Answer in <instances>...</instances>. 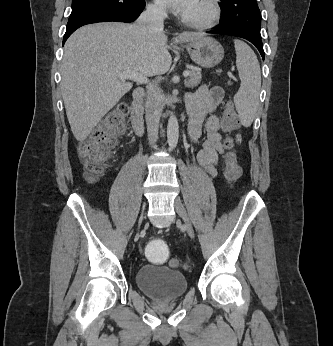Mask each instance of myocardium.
Instances as JSON below:
<instances>
[{"mask_svg": "<svg viewBox=\"0 0 333 346\" xmlns=\"http://www.w3.org/2000/svg\"><path fill=\"white\" fill-rule=\"evenodd\" d=\"M206 2L209 7V13L206 17L199 18L183 14L181 16L182 22L190 27L198 29H210L216 26L222 15L220 0H206Z\"/></svg>", "mask_w": 333, "mask_h": 346, "instance_id": "obj_1", "label": "myocardium"}]
</instances>
